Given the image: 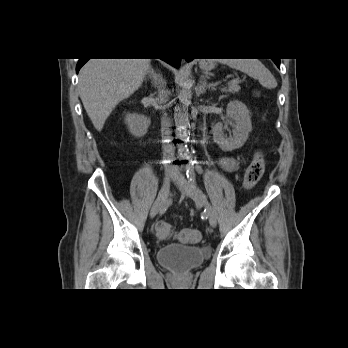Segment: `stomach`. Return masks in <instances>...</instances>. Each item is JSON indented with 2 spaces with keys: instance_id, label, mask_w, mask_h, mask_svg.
I'll return each mask as SVG.
<instances>
[{
  "instance_id": "0dacf381",
  "label": "stomach",
  "mask_w": 348,
  "mask_h": 348,
  "mask_svg": "<svg viewBox=\"0 0 348 348\" xmlns=\"http://www.w3.org/2000/svg\"><path fill=\"white\" fill-rule=\"evenodd\" d=\"M200 67L205 71H209L214 68V63L210 60H203L201 61Z\"/></svg>"
}]
</instances>
